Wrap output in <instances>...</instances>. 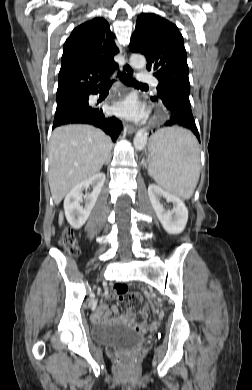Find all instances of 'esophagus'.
Returning a JSON list of instances; mask_svg holds the SVG:
<instances>
[{"label":"esophagus","instance_id":"1","mask_svg":"<svg viewBox=\"0 0 252 390\" xmlns=\"http://www.w3.org/2000/svg\"><path fill=\"white\" fill-rule=\"evenodd\" d=\"M125 56V54H124ZM123 70L125 73L129 74V75H133L134 74V70L133 68L131 67V65L128 63V61L126 60L125 63L123 64ZM124 129L126 132L128 133H133L136 129L134 126L132 125H128V124H125L124 125Z\"/></svg>","mask_w":252,"mask_h":390}]
</instances>
